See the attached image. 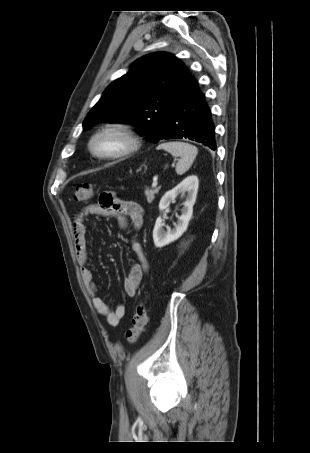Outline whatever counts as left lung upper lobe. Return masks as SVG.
<instances>
[{"mask_svg":"<svg viewBox=\"0 0 310 453\" xmlns=\"http://www.w3.org/2000/svg\"><path fill=\"white\" fill-rule=\"evenodd\" d=\"M190 73L174 55L157 52L138 59L129 72L104 91L83 122H118L136 126L157 143L187 83Z\"/></svg>","mask_w":310,"mask_h":453,"instance_id":"1","label":"left lung upper lobe"}]
</instances>
